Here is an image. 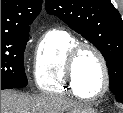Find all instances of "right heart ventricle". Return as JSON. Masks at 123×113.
<instances>
[{
    "label": "right heart ventricle",
    "mask_w": 123,
    "mask_h": 113,
    "mask_svg": "<svg viewBox=\"0 0 123 113\" xmlns=\"http://www.w3.org/2000/svg\"><path fill=\"white\" fill-rule=\"evenodd\" d=\"M78 40L68 31L54 28L41 38L34 57V82L45 93H77L70 85L65 62Z\"/></svg>",
    "instance_id": "obj_1"
}]
</instances>
